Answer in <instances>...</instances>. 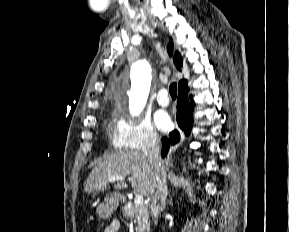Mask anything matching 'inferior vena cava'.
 I'll use <instances>...</instances> for the list:
<instances>
[{"label": "inferior vena cava", "instance_id": "inferior-vena-cava-1", "mask_svg": "<svg viewBox=\"0 0 289 232\" xmlns=\"http://www.w3.org/2000/svg\"><path fill=\"white\" fill-rule=\"evenodd\" d=\"M159 141V138L157 136H154L145 151V155L148 157V160L154 167L155 171L153 191L150 195L149 205L152 218L154 219V224H157L158 215L165 208L167 197L166 171L160 156Z\"/></svg>", "mask_w": 289, "mask_h": 232}]
</instances>
